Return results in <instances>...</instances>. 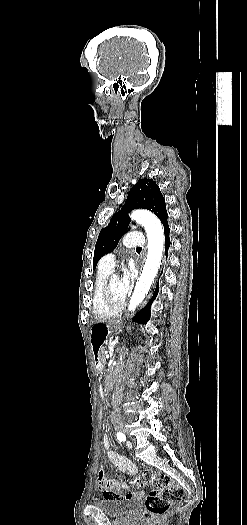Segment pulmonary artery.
I'll return each instance as SVG.
<instances>
[{"label": "pulmonary artery", "instance_id": "e3ab8cb5", "mask_svg": "<svg viewBox=\"0 0 247 525\" xmlns=\"http://www.w3.org/2000/svg\"><path fill=\"white\" fill-rule=\"evenodd\" d=\"M121 242L126 248H136L142 246L145 243L144 236H127V233L122 237ZM114 260V254H107L106 265Z\"/></svg>", "mask_w": 247, "mask_h": 525}]
</instances>
